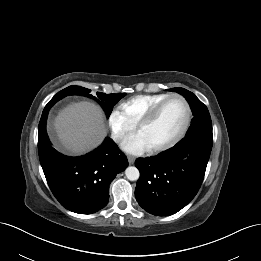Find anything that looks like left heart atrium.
I'll list each match as a JSON object with an SVG mask.
<instances>
[{
  "mask_svg": "<svg viewBox=\"0 0 261 261\" xmlns=\"http://www.w3.org/2000/svg\"><path fill=\"white\" fill-rule=\"evenodd\" d=\"M124 151L130 154H140L149 149L143 137L137 133L126 138L122 143Z\"/></svg>",
  "mask_w": 261,
  "mask_h": 261,
  "instance_id": "1",
  "label": "left heart atrium"
}]
</instances>
